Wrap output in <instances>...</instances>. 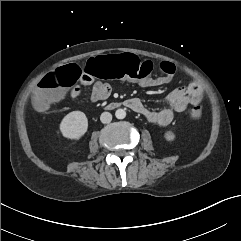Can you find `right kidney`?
<instances>
[{"label": "right kidney", "mask_w": 241, "mask_h": 241, "mask_svg": "<svg viewBox=\"0 0 241 241\" xmlns=\"http://www.w3.org/2000/svg\"><path fill=\"white\" fill-rule=\"evenodd\" d=\"M88 129V119L81 111H73L67 114L60 123L61 134L68 139H80Z\"/></svg>", "instance_id": "obj_1"}]
</instances>
